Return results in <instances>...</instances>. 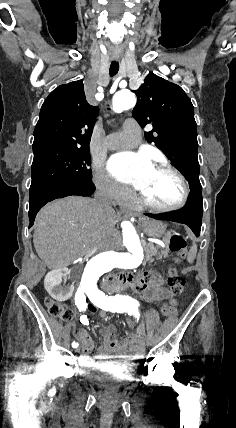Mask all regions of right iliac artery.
Masks as SVG:
<instances>
[{
  "label": "right iliac artery",
  "mask_w": 236,
  "mask_h": 428,
  "mask_svg": "<svg viewBox=\"0 0 236 428\" xmlns=\"http://www.w3.org/2000/svg\"><path fill=\"white\" fill-rule=\"evenodd\" d=\"M75 305L78 307L80 312L86 311L87 303H86V297L84 295V292H76V294H75ZM72 347L77 348L78 343L73 342Z\"/></svg>",
  "instance_id": "1"
}]
</instances>
